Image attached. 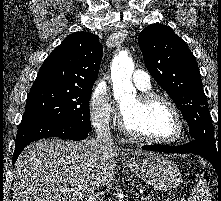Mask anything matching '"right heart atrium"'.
<instances>
[{
	"instance_id": "1",
	"label": "right heart atrium",
	"mask_w": 221,
	"mask_h": 201,
	"mask_svg": "<svg viewBox=\"0 0 221 201\" xmlns=\"http://www.w3.org/2000/svg\"><path fill=\"white\" fill-rule=\"evenodd\" d=\"M90 120L99 131H108L116 120L115 109L104 90H96L90 100Z\"/></svg>"
}]
</instances>
